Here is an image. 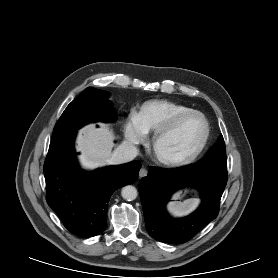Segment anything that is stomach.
Returning a JSON list of instances; mask_svg holds the SVG:
<instances>
[{
	"label": "stomach",
	"instance_id": "0dacf381",
	"mask_svg": "<svg viewBox=\"0 0 278 278\" xmlns=\"http://www.w3.org/2000/svg\"><path fill=\"white\" fill-rule=\"evenodd\" d=\"M176 198H178L179 197V195H177V196H175Z\"/></svg>",
	"mask_w": 278,
	"mask_h": 278
}]
</instances>
